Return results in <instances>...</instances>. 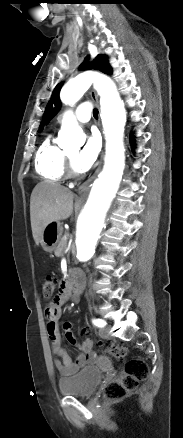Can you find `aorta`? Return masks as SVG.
I'll return each mask as SVG.
<instances>
[{
  "instance_id": "762f6f07",
  "label": "aorta",
  "mask_w": 183,
  "mask_h": 438,
  "mask_svg": "<svg viewBox=\"0 0 183 438\" xmlns=\"http://www.w3.org/2000/svg\"><path fill=\"white\" fill-rule=\"evenodd\" d=\"M94 83L100 94L101 118L106 135V158L103 171L93 183L87 201L77 218L76 258L88 262L95 254L97 241L109 218L112 201L122 178L124 155V126L126 110L115 84L107 77L92 72L71 78L62 88L60 98L65 104L76 103ZM81 131L71 111L64 114L58 145L65 148Z\"/></svg>"
}]
</instances>
